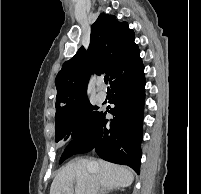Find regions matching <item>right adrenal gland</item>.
<instances>
[{"instance_id":"right-adrenal-gland-1","label":"right adrenal gland","mask_w":201,"mask_h":194,"mask_svg":"<svg viewBox=\"0 0 201 194\" xmlns=\"http://www.w3.org/2000/svg\"><path fill=\"white\" fill-rule=\"evenodd\" d=\"M117 190L116 188H102L100 191H99V194H108L110 192H113Z\"/></svg>"}]
</instances>
